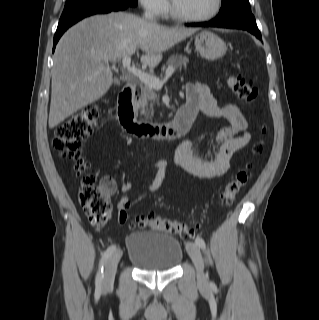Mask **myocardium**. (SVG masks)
<instances>
[{
	"mask_svg": "<svg viewBox=\"0 0 319 320\" xmlns=\"http://www.w3.org/2000/svg\"><path fill=\"white\" fill-rule=\"evenodd\" d=\"M222 0H215V5L214 8L211 12H209L206 15L203 16H185L180 13H178L174 6L173 3L170 4V16L180 22H186V23H201V22H206L211 19H213L221 10L222 7Z\"/></svg>",
	"mask_w": 319,
	"mask_h": 320,
	"instance_id": "f54148a6",
	"label": "myocardium"
}]
</instances>
